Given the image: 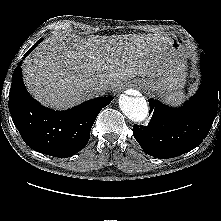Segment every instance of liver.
<instances>
[{
	"instance_id": "liver-1",
	"label": "liver",
	"mask_w": 221,
	"mask_h": 221,
	"mask_svg": "<svg viewBox=\"0 0 221 221\" xmlns=\"http://www.w3.org/2000/svg\"><path fill=\"white\" fill-rule=\"evenodd\" d=\"M171 41L160 34L48 38L24 60V83L44 106L71 108L96 96L99 81L114 90L136 76L160 75L172 60Z\"/></svg>"
}]
</instances>
